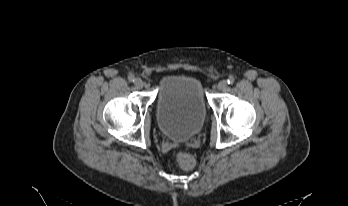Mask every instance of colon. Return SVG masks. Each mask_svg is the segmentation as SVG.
<instances>
[{
  "mask_svg": "<svg viewBox=\"0 0 348 206\" xmlns=\"http://www.w3.org/2000/svg\"><path fill=\"white\" fill-rule=\"evenodd\" d=\"M175 160H176L177 165L180 168L185 169V170H190L195 165L194 158L191 155L184 153V152H179L176 155Z\"/></svg>",
  "mask_w": 348,
  "mask_h": 206,
  "instance_id": "5ec220e1",
  "label": "colon"
}]
</instances>
